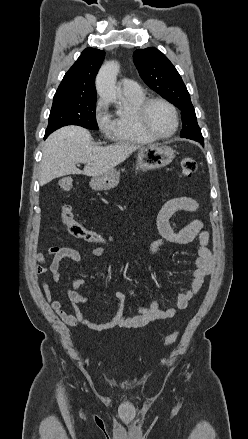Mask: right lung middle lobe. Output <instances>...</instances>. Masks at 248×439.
<instances>
[{
  "label": "right lung middle lobe",
  "mask_w": 248,
  "mask_h": 439,
  "mask_svg": "<svg viewBox=\"0 0 248 439\" xmlns=\"http://www.w3.org/2000/svg\"><path fill=\"white\" fill-rule=\"evenodd\" d=\"M96 97H54L45 138L66 125H79L97 130L95 119Z\"/></svg>",
  "instance_id": "dd1d6c3e"
}]
</instances>
